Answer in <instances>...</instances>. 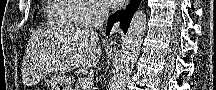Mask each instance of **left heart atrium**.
I'll use <instances>...</instances> for the list:
<instances>
[{
	"label": "left heart atrium",
	"mask_w": 216,
	"mask_h": 90,
	"mask_svg": "<svg viewBox=\"0 0 216 90\" xmlns=\"http://www.w3.org/2000/svg\"><path fill=\"white\" fill-rule=\"evenodd\" d=\"M101 7H121L123 0H97Z\"/></svg>",
	"instance_id": "1"
}]
</instances>
